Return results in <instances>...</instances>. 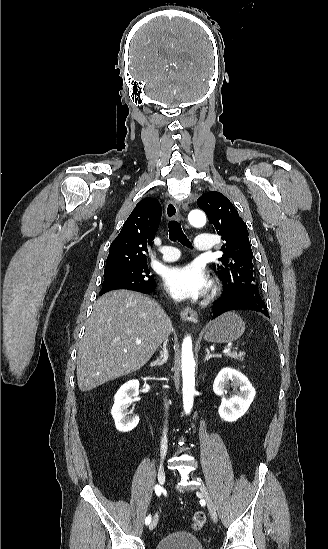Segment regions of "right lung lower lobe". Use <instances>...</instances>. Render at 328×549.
Wrapping results in <instances>:
<instances>
[{
    "label": "right lung lower lobe",
    "instance_id": "1",
    "mask_svg": "<svg viewBox=\"0 0 328 549\" xmlns=\"http://www.w3.org/2000/svg\"><path fill=\"white\" fill-rule=\"evenodd\" d=\"M155 290V286L150 288L149 290H140L139 292H142L144 294L152 293Z\"/></svg>",
    "mask_w": 328,
    "mask_h": 549
}]
</instances>
